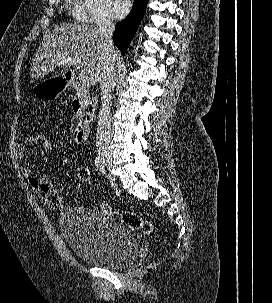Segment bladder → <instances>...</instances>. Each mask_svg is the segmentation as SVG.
I'll use <instances>...</instances> for the list:
<instances>
[{
  "mask_svg": "<svg viewBox=\"0 0 272 303\" xmlns=\"http://www.w3.org/2000/svg\"><path fill=\"white\" fill-rule=\"evenodd\" d=\"M59 228L75 256L92 265L120 268L130 264L140 251L138 240L129 228L92 208L65 207Z\"/></svg>",
  "mask_w": 272,
  "mask_h": 303,
  "instance_id": "obj_1",
  "label": "bladder"
}]
</instances>
